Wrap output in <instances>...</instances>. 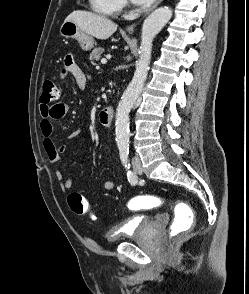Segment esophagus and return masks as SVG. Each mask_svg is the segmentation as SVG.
Wrapping results in <instances>:
<instances>
[{"mask_svg": "<svg viewBox=\"0 0 249 294\" xmlns=\"http://www.w3.org/2000/svg\"><path fill=\"white\" fill-rule=\"evenodd\" d=\"M163 0H157L156 3L148 10V12L146 13L149 14L151 11H153ZM136 24L130 25L127 27V31L129 33H132L135 29Z\"/></svg>", "mask_w": 249, "mask_h": 294, "instance_id": "esophagus-1", "label": "esophagus"}]
</instances>
